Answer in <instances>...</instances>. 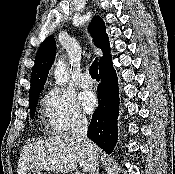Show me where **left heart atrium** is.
<instances>
[{"label":"left heart atrium","mask_w":175,"mask_h":174,"mask_svg":"<svg viewBox=\"0 0 175 174\" xmlns=\"http://www.w3.org/2000/svg\"><path fill=\"white\" fill-rule=\"evenodd\" d=\"M79 99L86 112H92L97 106V99L92 92H82Z\"/></svg>","instance_id":"39dd6f15"}]
</instances>
